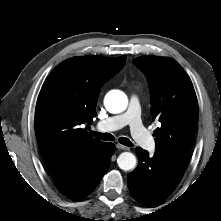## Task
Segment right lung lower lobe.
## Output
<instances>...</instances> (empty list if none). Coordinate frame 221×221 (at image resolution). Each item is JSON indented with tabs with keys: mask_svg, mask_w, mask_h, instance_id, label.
I'll return each mask as SVG.
<instances>
[{
	"mask_svg": "<svg viewBox=\"0 0 221 221\" xmlns=\"http://www.w3.org/2000/svg\"><path fill=\"white\" fill-rule=\"evenodd\" d=\"M114 145L106 143L94 159L74 163L61 171L51 172L59 190L70 199H81L90 194L107 172Z\"/></svg>",
	"mask_w": 221,
	"mask_h": 221,
	"instance_id": "1",
	"label": "right lung lower lobe"
}]
</instances>
